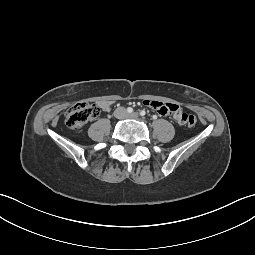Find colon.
<instances>
[{"label": "colon", "instance_id": "colon-1", "mask_svg": "<svg viewBox=\"0 0 255 255\" xmlns=\"http://www.w3.org/2000/svg\"><path fill=\"white\" fill-rule=\"evenodd\" d=\"M100 114L99 107L90 102L77 103L71 106L65 114V125L71 130H78L85 124L96 119ZM188 115V122L185 125L194 126L197 119L194 115Z\"/></svg>", "mask_w": 255, "mask_h": 255}]
</instances>
